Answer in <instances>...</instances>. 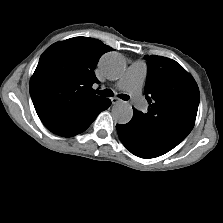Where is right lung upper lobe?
I'll return each instance as SVG.
<instances>
[{
    "mask_svg": "<svg viewBox=\"0 0 223 223\" xmlns=\"http://www.w3.org/2000/svg\"><path fill=\"white\" fill-rule=\"evenodd\" d=\"M112 50L97 39L74 37L53 44L41 55L30 94L47 129L75 134L94 121L106 102L92 92V85L99 83L94 69L101 55Z\"/></svg>",
    "mask_w": 223,
    "mask_h": 223,
    "instance_id": "cb5924a9",
    "label": "right lung upper lobe"
}]
</instances>
